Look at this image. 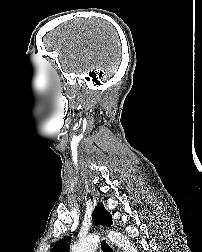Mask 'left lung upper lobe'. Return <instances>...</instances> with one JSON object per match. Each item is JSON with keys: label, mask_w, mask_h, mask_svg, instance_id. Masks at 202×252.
I'll return each instance as SVG.
<instances>
[{"label": "left lung upper lobe", "mask_w": 202, "mask_h": 252, "mask_svg": "<svg viewBox=\"0 0 202 252\" xmlns=\"http://www.w3.org/2000/svg\"><path fill=\"white\" fill-rule=\"evenodd\" d=\"M93 219L95 225H112V217L109 212L104 208L103 204H99V206L95 208V211L93 212ZM70 242V237L66 236L59 240L50 252H68Z\"/></svg>", "instance_id": "left-lung-upper-lobe-1"}]
</instances>
